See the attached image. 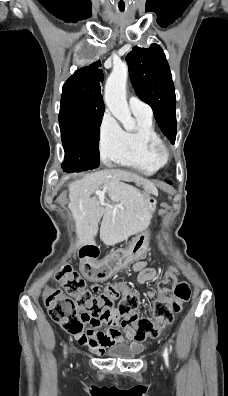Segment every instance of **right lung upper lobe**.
<instances>
[{"label": "right lung upper lobe", "mask_w": 228, "mask_h": 396, "mask_svg": "<svg viewBox=\"0 0 228 396\" xmlns=\"http://www.w3.org/2000/svg\"><path fill=\"white\" fill-rule=\"evenodd\" d=\"M104 74L100 60L78 69L63 85L62 96L72 98L86 109H105L100 92Z\"/></svg>", "instance_id": "obj_1"}]
</instances>
